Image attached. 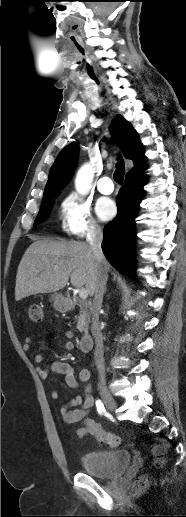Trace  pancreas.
Instances as JSON below:
<instances>
[{
    "label": "pancreas",
    "instance_id": "cf45deb5",
    "mask_svg": "<svg viewBox=\"0 0 186 517\" xmlns=\"http://www.w3.org/2000/svg\"><path fill=\"white\" fill-rule=\"evenodd\" d=\"M80 314L77 319V329L80 332L87 331L90 323L89 305L84 301H79Z\"/></svg>",
    "mask_w": 186,
    "mask_h": 517
}]
</instances>
